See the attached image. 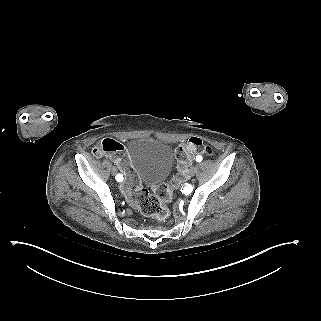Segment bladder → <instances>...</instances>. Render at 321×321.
<instances>
[{
  "label": "bladder",
  "mask_w": 321,
  "mask_h": 321,
  "mask_svg": "<svg viewBox=\"0 0 321 321\" xmlns=\"http://www.w3.org/2000/svg\"><path fill=\"white\" fill-rule=\"evenodd\" d=\"M128 156L139 179L149 186L159 185L169 174L173 163L170 146L148 137L131 140Z\"/></svg>",
  "instance_id": "31cf9c89"
}]
</instances>
